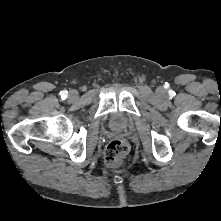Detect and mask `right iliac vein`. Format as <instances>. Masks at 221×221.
Here are the masks:
<instances>
[{"label": "right iliac vein", "mask_w": 221, "mask_h": 221, "mask_svg": "<svg viewBox=\"0 0 221 221\" xmlns=\"http://www.w3.org/2000/svg\"><path fill=\"white\" fill-rule=\"evenodd\" d=\"M77 97H78V92H77V91H71V92L69 93V98H70L71 100H75V99H77Z\"/></svg>", "instance_id": "obj_1"}]
</instances>
